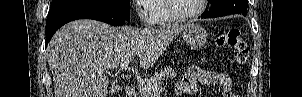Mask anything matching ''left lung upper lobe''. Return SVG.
Returning <instances> with one entry per match:
<instances>
[{
	"label": "left lung upper lobe",
	"instance_id": "1",
	"mask_svg": "<svg viewBox=\"0 0 302 97\" xmlns=\"http://www.w3.org/2000/svg\"><path fill=\"white\" fill-rule=\"evenodd\" d=\"M210 12L218 16L242 13L246 16L248 0H209Z\"/></svg>",
	"mask_w": 302,
	"mask_h": 97
}]
</instances>
